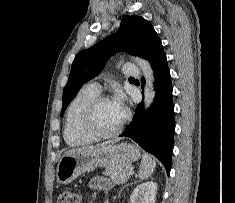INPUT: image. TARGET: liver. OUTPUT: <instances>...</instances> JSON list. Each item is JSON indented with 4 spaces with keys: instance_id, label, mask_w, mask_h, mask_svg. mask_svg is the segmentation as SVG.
<instances>
[{
    "instance_id": "liver-1",
    "label": "liver",
    "mask_w": 235,
    "mask_h": 203,
    "mask_svg": "<svg viewBox=\"0 0 235 203\" xmlns=\"http://www.w3.org/2000/svg\"><path fill=\"white\" fill-rule=\"evenodd\" d=\"M118 140H111V141H108V142H105V143H102V144H97V145H94V146H86V147H82V148H76V149H71L69 150L68 152H66V154H73L77 151H82V150H93V149H97V148H100V147H103V146H107V145H110V144H113L115 142H117Z\"/></svg>"
}]
</instances>
